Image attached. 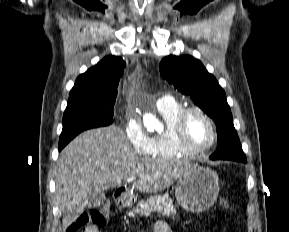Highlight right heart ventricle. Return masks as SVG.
<instances>
[{"label": "right heart ventricle", "mask_w": 289, "mask_h": 232, "mask_svg": "<svg viewBox=\"0 0 289 232\" xmlns=\"http://www.w3.org/2000/svg\"><path fill=\"white\" fill-rule=\"evenodd\" d=\"M183 108V105L174 99H171V101L163 106L157 107L159 114L165 122V128L151 137L150 155L159 158H177L194 154L183 148L174 134L176 117Z\"/></svg>", "instance_id": "obj_1"}]
</instances>
